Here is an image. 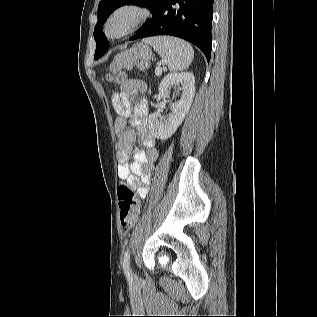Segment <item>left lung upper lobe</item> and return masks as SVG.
Segmentation results:
<instances>
[{"label": "left lung upper lobe", "instance_id": "left-lung-upper-lobe-1", "mask_svg": "<svg viewBox=\"0 0 317 317\" xmlns=\"http://www.w3.org/2000/svg\"><path fill=\"white\" fill-rule=\"evenodd\" d=\"M161 1L162 0H101L97 12L98 22L94 30V38L97 44L94 56L95 59L101 57L108 49V47L103 49L104 45L109 46V44L106 42V37L102 33L101 27L115 9L126 4H136L138 6L148 8L154 16L160 6ZM150 21L151 20H148L146 23H144L141 31L133 36L130 40L134 39L138 34H140L148 26Z\"/></svg>", "mask_w": 317, "mask_h": 317}]
</instances>
